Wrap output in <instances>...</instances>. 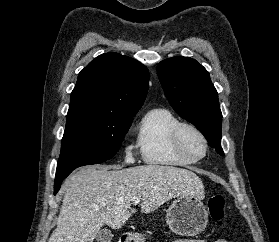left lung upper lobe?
<instances>
[{
	"mask_svg": "<svg viewBox=\"0 0 279 242\" xmlns=\"http://www.w3.org/2000/svg\"><path fill=\"white\" fill-rule=\"evenodd\" d=\"M157 74L165 95L182 118L194 124L220 155L222 113L210 75L196 60L173 57L161 61Z\"/></svg>",
	"mask_w": 279,
	"mask_h": 242,
	"instance_id": "left-lung-upper-lobe-1",
	"label": "left lung upper lobe"
}]
</instances>
